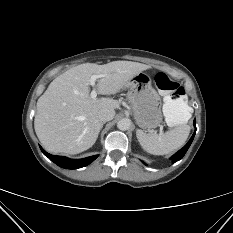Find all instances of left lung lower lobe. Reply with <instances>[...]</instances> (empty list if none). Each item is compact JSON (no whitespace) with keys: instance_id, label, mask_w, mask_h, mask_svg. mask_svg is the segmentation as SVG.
Wrapping results in <instances>:
<instances>
[{"instance_id":"obj_1","label":"left lung lower lobe","mask_w":233,"mask_h":233,"mask_svg":"<svg viewBox=\"0 0 233 233\" xmlns=\"http://www.w3.org/2000/svg\"><path fill=\"white\" fill-rule=\"evenodd\" d=\"M194 126H196L195 120H194ZM195 133H196V130H195L194 134L192 135V137L190 138V140L188 141V143L182 149H180L177 153H175L171 157V159L173 160V162H177V161H179L180 159L183 158V156L185 155V153L187 152L188 148L190 147V145H191V143L193 141Z\"/></svg>"}]
</instances>
